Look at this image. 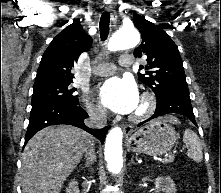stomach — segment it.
<instances>
[{"mask_svg": "<svg viewBox=\"0 0 221 193\" xmlns=\"http://www.w3.org/2000/svg\"><path fill=\"white\" fill-rule=\"evenodd\" d=\"M177 140L175 129L165 119H156L134 132L127 147L135 153L159 156L172 149Z\"/></svg>", "mask_w": 221, "mask_h": 193, "instance_id": "0dacf381", "label": "stomach"}]
</instances>
